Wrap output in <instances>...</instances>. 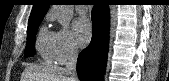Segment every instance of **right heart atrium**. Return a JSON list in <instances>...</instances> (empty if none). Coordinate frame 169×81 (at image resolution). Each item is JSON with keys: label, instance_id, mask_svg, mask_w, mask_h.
Returning <instances> with one entry per match:
<instances>
[{"label": "right heart atrium", "instance_id": "obj_1", "mask_svg": "<svg viewBox=\"0 0 169 81\" xmlns=\"http://www.w3.org/2000/svg\"><path fill=\"white\" fill-rule=\"evenodd\" d=\"M51 49L53 58L59 63L74 57L78 51L77 45L67 29H57L52 33Z\"/></svg>", "mask_w": 169, "mask_h": 81}]
</instances>
